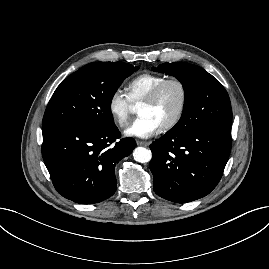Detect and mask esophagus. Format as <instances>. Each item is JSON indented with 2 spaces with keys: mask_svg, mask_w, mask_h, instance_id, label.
Returning <instances> with one entry per match:
<instances>
[{
  "mask_svg": "<svg viewBox=\"0 0 269 269\" xmlns=\"http://www.w3.org/2000/svg\"><path fill=\"white\" fill-rule=\"evenodd\" d=\"M136 143H137L138 146H148L149 145L148 142H146V141H140V140H138Z\"/></svg>",
  "mask_w": 269,
  "mask_h": 269,
  "instance_id": "esophagus-1",
  "label": "esophagus"
}]
</instances>
